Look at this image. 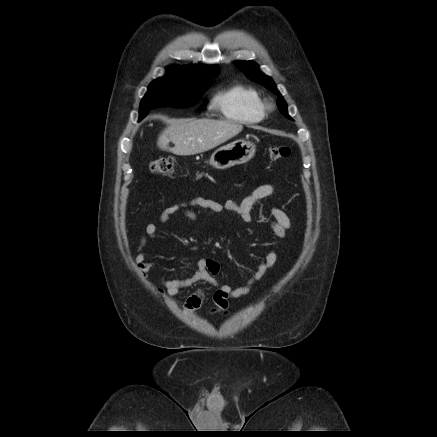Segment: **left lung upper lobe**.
<instances>
[{"label": "left lung upper lobe", "instance_id": "5c2ea615", "mask_svg": "<svg viewBox=\"0 0 437 437\" xmlns=\"http://www.w3.org/2000/svg\"><path fill=\"white\" fill-rule=\"evenodd\" d=\"M235 65L239 67L244 73L249 77L252 81L264 85L269 90H271L274 94L278 95L279 98L277 100V105L281 111V113L288 119L292 118L287 113V105L285 100L282 98L281 94L276 88L275 83L268 76H265L258 70V65L252 61L248 62H236Z\"/></svg>", "mask_w": 437, "mask_h": 437}]
</instances>
